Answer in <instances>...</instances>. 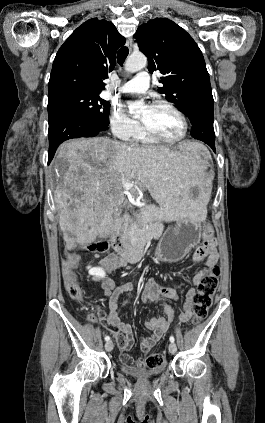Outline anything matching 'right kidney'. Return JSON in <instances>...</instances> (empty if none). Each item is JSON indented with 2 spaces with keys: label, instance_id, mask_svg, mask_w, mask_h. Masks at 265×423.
I'll use <instances>...</instances> for the list:
<instances>
[{
  "label": "right kidney",
  "instance_id": "right-kidney-1",
  "mask_svg": "<svg viewBox=\"0 0 265 423\" xmlns=\"http://www.w3.org/2000/svg\"><path fill=\"white\" fill-rule=\"evenodd\" d=\"M87 269L89 270V274L94 277L93 280H99L100 278H103L106 275L105 271L100 267L88 266Z\"/></svg>",
  "mask_w": 265,
  "mask_h": 423
}]
</instances>
